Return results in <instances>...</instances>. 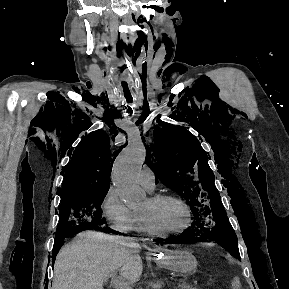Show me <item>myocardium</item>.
Returning <instances> with one entry per match:
<instances>
[{
  "mask_svg": "<svg viewBox=\"0 0 289 289\" xmlns=\"http://www.w3.org/2000/svg\"><path fill=\"white\" fill-rule=\"evenodd\" d=\"M149 199L150 201L154 203H159L165 200H173L179 203L186 211L187 223L185 224L184 227L176 231H161L152 225L151 221L148 219L146 215L139 212V216L141 218L143 226L148 234L157 236V237H169V236L180 235L189 229L192 223V212H191L189 205L181 197L174 195V194H169V193H158V194L151 195Z\"/></svg>",
  "mask_w": 289,
  "mask_h": 289,
  "instance_id": "f54148a6",
  "label": "myocardium"
}]
</instances>
